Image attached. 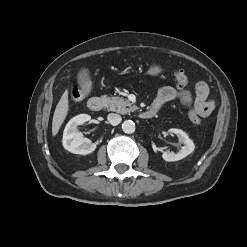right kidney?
<instances>
[{"mask_svg":"<svg viewBox=\"0 0 247 247\" xmlns=\"http://www.w3.org/2000/svg\"><path fill=\"white\" fill-rule=\"evenodd\" d=\"M91 120L88 114H79L73 117L66 125L63 132V146L66 150L74 154L87 155L96 149V144L84 138L78 131V126Z\"/></svg>","mask_w":247,"mask_h":247,"instance_id":"obj_1","label":"right kidney"}]
</instances>
